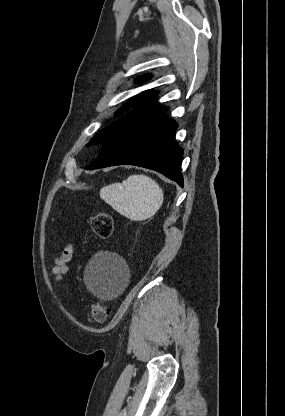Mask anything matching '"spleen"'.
I'll return each instance as SVG.
<instances>
[{
    "label": "spleen",
    "mask_w": 285,
    "mask_h": 416,
    "mask_svg": "<svg viewBox=\"0 0 285 416\" xmlns=\"http://www.w3.org/2000/svg\"><path fill=\"white\" fill-rule=\"evenodd\" d=\"M100 198L125 218L143 222L158 212L163 204L164 194L155 180L141 174L129 176L122 184L101 188Z\"/></svg>",
    "instance_id": "spleen-1"
}]
</instances>
